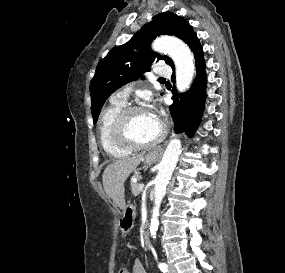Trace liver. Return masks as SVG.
Instances as JSON below:
<instances>
[{"instance_id":"obj_1","label":"liver","mask_w":285,"mask_h":273,"mask_svg":"<svg viewBox=\"0 0 285 273\" xmlns=\"http://www.w3.org/2000/svg\"><path fill=\"white\" fill-rule=\"evenodd\" d=\"M144 160V153L115 160L104 170L102 181L107 195L122 210L125 209L124 182L136 167Z\"/></svg>"}]
</instances>
